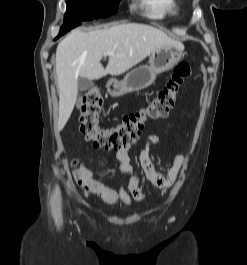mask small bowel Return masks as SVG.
I'll use <instances>...</instances> for the list:
<instances>
[{"instance_id": "c3829d8e", "label": "small bowel", "mask_w": 247, "mask_h": 265, "mask_svg": "<svg viewBox=\"0 0 247 265\" xmlns=\"http://www.w3.org/2000/svg\"><path fill=\"white\" fill-rule=\"evenodd\" d=\"M159 141L160 139L158 135H149L139 154V161L146 179L153 185L163 190H167L177 179L179 171L184 162V156L182 154H178L175 157V160L168 170L166 176L159 173L155 170L149 157L150 147L157 144ZM129 148L130 144H127L117 151L122 172L131 176L127 185V190L123 186H120L118 190H115L104 185L102 182L95 179L92 172L85 166H81L73 172L76 183L85 192L97 195L102 199V201L109 205L124 204L126 206H131L134 202H143L145 195L143 194L140 187V178L134 174L133 167L127 160Z\"/></svg>"}]
</instances>
